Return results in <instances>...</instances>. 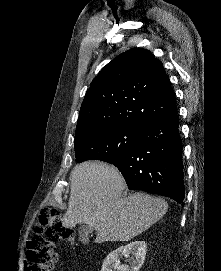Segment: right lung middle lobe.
I'll list each match as a JSON object with an SVG mask.
<instances>
[{"instance_id":"right-lung-middle-lobe-1","label":"right lung middle lobe","mask_w":221,"mask_h":271,"mask_svg":"<svg viewBox=\"0 0 221 271\" xmlns=\"http://www.w3.org/2000/svg\"><path fill=\"white\" fill-rule=\"evenodd\" d=\"M144 128L117 125L75 138L77 162L102 160L114 163L138 142Z\"/></svg>"}]
</instances>
